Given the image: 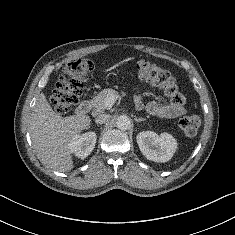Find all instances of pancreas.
Returning a JSON list of instances; mask_svg holds the SVG:
<instances>
[{"label":"pancreas","mask_w":235,"mask_h":235,"mask_svg":"<svg viewBox=\"0 0 235 235\" xmlns=\"http://www.w3.org/2000/svg\"><path fill=\"white\" fill-rule=\"evenodd\" d=\"M117 95V92L113 89H104L102 90L97 96H95L92 100V106L97 110V111H103L107 109L105 105V100L108 96L110 95Z\"/></svg>","instance_id":"1"}]
</instances>
